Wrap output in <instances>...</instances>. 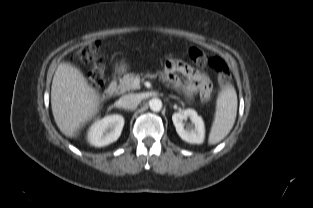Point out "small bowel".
<instances>
[{
  "mask_svg": "<svg viewBox=\"0 0 313 208\" xmlns=\"http://www.w3.org/2000/svg\"><path fill=\"white\" fill-rule=\"evenodd\" d=\"M165 72L174 86L181 89L185 94L199 93L203 99H209L212 93V85L206 74L194 69L183 61L169 59L165 64ZM177 73L185 76L182 82Z\"/></svg>",
  "mask_w": 313,
  "mask_h": 208,
  "instance_id": "1",
  "label": "small bowel"
}]
</instances>
